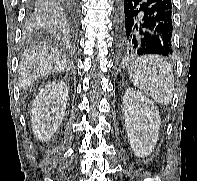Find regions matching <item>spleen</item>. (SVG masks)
<instances>
[{
  "label": "spleen",
  "mask_w": 197,
  "mask_h": 181,
  "mask_svg": "<svg viewBox=\"0 0 197 181\" xmlns=\"http://www.w3.org/2000/svg\"><path fill=\"white\" fill-rule=\"evenodd\" d=\"M131 81L155 102L169 104L173 94V70L169 63L153 55L136 59L128 69Z\"/></svg>",
  "instance_id": "spleen-1"
}]
</instances>
